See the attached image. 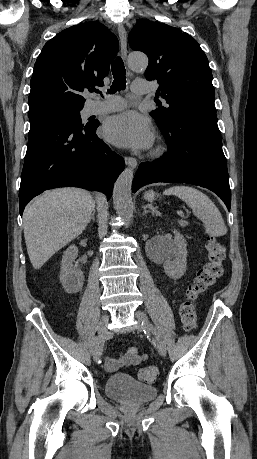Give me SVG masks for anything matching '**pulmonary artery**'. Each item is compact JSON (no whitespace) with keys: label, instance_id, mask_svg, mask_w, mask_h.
<instances>
[{"label":"pulmonary artery","instance_id":"1","mask_svg":"<svg viewBox=\"0 0 257 459\" xmlns=\"http://www.w3.org/2000/svg\"><path fill=\"white\" fill-rule=\"evenodd\" d=\"M145 80H134L132 84V92L134 95H142L149 93L150 87L146 85ZM125 107V101L119 96H109L104 101H92L87 106L89 115L109 113L121 110Z\"/></svg>","mask_w":257,"mask_h":459}]
</instances>
